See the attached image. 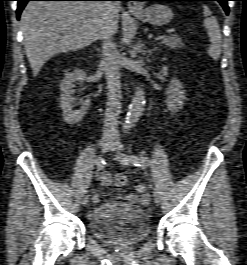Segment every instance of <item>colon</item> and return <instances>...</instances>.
Instances as JSON below:
<instances>
[{
    "label": "colon",
    "mask_w": 247,
    "mask_h": 265,
    "mask_svg": "<svg viewBox=\"0 0 247 265\" xmlns=\"http://www.w3.org/2000/svg\"><path fill=\"white\" fill-rule=\"evenodd\" d=\"M114 183L119 186V187H123L126 185L127 183V178L124 174L122 173H117L115 176H114Z\"/></svg>",
    "instance_id": "obj_1"
}]
</instances>
